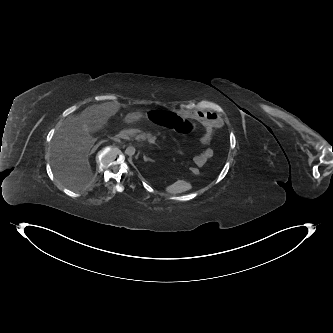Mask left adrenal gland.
<instances>
[{
  "instance_id": "left-adrenal-gland-1",
  "label": "left adrenal gland",
  "mask_w": 333,
  "mask_h": 333,
  "mask_svg": "<svg viewBox=\"0 0 333 333\" xmlns=\"http://www.w3.org/2000/svg\"><path fill=\"white\" fill-rule=\"evenodd\" d=\"M143 159H144V162H147V161L154 162V160H152L151 158L146 157V155H143Z\"/></svg>"
}]
</instances>
